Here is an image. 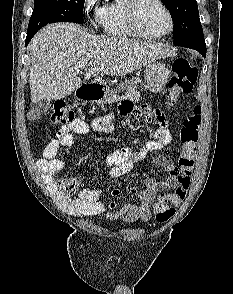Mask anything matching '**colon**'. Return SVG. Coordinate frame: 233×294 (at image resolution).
<instances>
[{
    "mask_svg": "<svg viewBox=\"0 0 233 294\" xmlns=\"http://www.w3.org/2000/svg\"><path fill=\"white\" fill-rule=\"evenodd\" d=\"M197 81V70L193 67L191 59L181 57L174 61L172 76L169 81V103L173 104L181 96L191 92ZM74 113L65 102L55 105L50 116L53 125H69L74 121ZM202 123L200 105H195L191 113L184 119L179 132L181 153L178 161L180 175L178 186L171 194H161L154 203L155 217L158 222H167L175 214L174 206L180 205L186 195L193 173L196 147L199 140V130ZM78 180L74 177L64 178L59 182L60 191L71 196L77 187Z\"/></svg>",
    "mask_w": 233,
    "mask_h": 294,
    "instance_id": "1",
    "label": "colon"
}]
</instances>
